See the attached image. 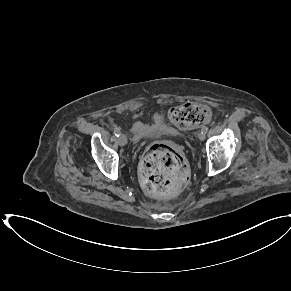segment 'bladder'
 <instances>
[{
	"mask_svg": "<svg viewBox=\"0 0 291 291\" xmlns=\"http://www.w3.org/2000/svg\"><path fill=\"white\" fill-rule=\"evenodd\" d=\"M131 132L140 140L158 133L170 134L174 132V129L168 126L162 116L155 115L149 123L134 122Z\"/></svg>",
	"mask_w": 291,
	"mask_h": 291,
	"instance_id": "bladder-1",
	"label": "bladder"
}]
</instances>
